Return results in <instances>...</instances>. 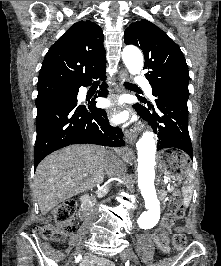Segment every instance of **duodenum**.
Listing matches in <instances>:
<instances>
[{
    "label": "duodenum",
    "instance_id": "obj_1",
    "mask_svg": "<svg viewBox=\"0 0 221 266\" xmlns=\"http://www.w3.org/2000/svg\"><path fill=\"white\" fill-rule=\"evenodd\" d=\"M81 201H82V207L80 210V217L81 219H86L91 212V201L87 197H83Z\"/></svg>",
    "mask_w": 221,
    "mask_h": 266
}]
</instances>
